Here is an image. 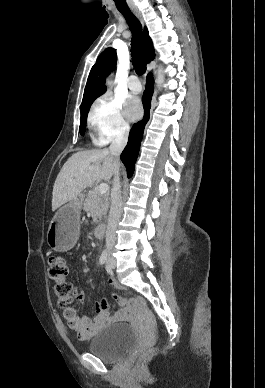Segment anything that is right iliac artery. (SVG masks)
Wrapping results in <instances>:
<instances>
[{"label":"right iliac artery","mask_w":265,"mask_h":388,"mask_svg":"<svg viewBox=\"0 0 265 388\" xmlns=\"http://www.w3.org/2000/svg\"><path fill=\"white\" fill-rule=\"evenodd\" d=\"M100 264H105L107 262V252L104 250L99 259Z\"/></svg>","instance_id":"1"}]
</instances>
